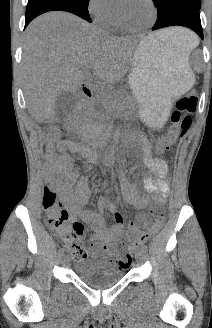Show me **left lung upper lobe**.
Masks as SVG:
<instances>
[{"mask_svg": "<svg viewBox=\"0 0 212 328\" xmlns=\"http://www.w3.org/2000/svg\"><path fill=\"white\" fill-rule=\"evenodd\" d=\"M169 1L171 0H153L154 4L157 6L158 11L163 10L166 3ZM184 1H187L193 4L194 6H196L198 9H200V0H184Z\"/></svg>", "mask_w": 212, "mask_h": 328, "instance_id": "left-lung-upper-lobe-1", "label": "left lung upper lobe"}]
</instances>
